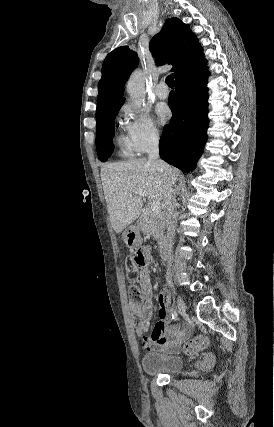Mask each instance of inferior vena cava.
I'll list each match as a JSON object with an SVG mask.
<instances>
[{
	"label": "inferior vena cava",
	"mask_w": 274,
	"mask_h": 427,
	"mask_svg": "<svg viewBox=\"0 0 274 427\" xmlns=\"http://www.w3.org/2000/svg\"><path fill=\"white\" fill-rule=\"evenodd\" d=\"M147 154L148 160H158L159 158V138L158 136H151L147 140ZM164 170L169 172V166H163ZM175 182H168L167 188L164 192V206L166 208V247L171 249L175 229L177 225V202L176 194L173 188Z\"/></svg>",
	"instance_id": "602c4592"
}]
</instances>
